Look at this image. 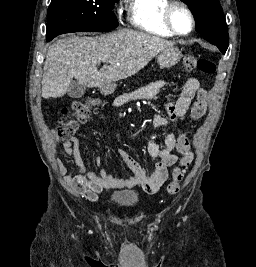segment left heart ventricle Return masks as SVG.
<instances>
[{
	"instance_id": "1",
	"label": "left heart ventricle",
	"mask_w": 256,
	"mask_h": 267,
	"mask_svg": "<svg viewBox=\"0 0 256 267\" xmlns=\"http://www.w3.org/2000/svg\"><path fill=\"white\" fill-rule=\"evenodd\" d=\"M171 16L178 31L182 33H186L189 31L191 25L190 18L183 9L174 6L172 9Z\"/></svg>"
}]
</instances>
